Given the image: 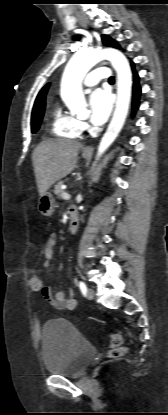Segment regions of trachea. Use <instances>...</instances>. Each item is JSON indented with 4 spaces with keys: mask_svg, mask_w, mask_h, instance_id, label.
Returning a JSON list of instances; mask_svg holds the SVG:
<instances>
[{
    "mask_svg": "<svg viewBox=\"0 0 168 415\" xmlns=\"http://www.w3.org/2000/svg\"><path fill=\"white\" fill-rule=\"evenodd\" d=\"M109 82H114V77H110Z\"/></svg>",
    "mask_w": 168,
    "mask_h": 415,
    "instance_id": "1",
    "label": "trachea"
}]
</instances>
